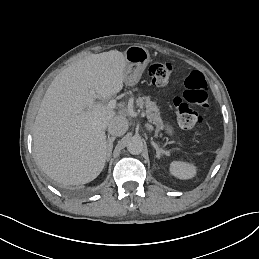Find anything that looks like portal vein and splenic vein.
<instances>
[{
  "label": "portal vein and splenic vein",
  "mask_w": 259,
  "mask_h": 259,
  "mask_svg": "<svg viewBox=\"0 0 259 259\" xmlns=\"http://www.w3.org/2000/svg\"><path fill=\"white\" fill-rule=\"evenodd\" d=\"M91 94L95 95V92L93 90H91ZM108 105H109V107H114L115 106V101H110ZM74 113L78 114V113H80V111L76 110V111H74Z\"/></svg>",
  "instance_id": "1"
}]
</instances>
